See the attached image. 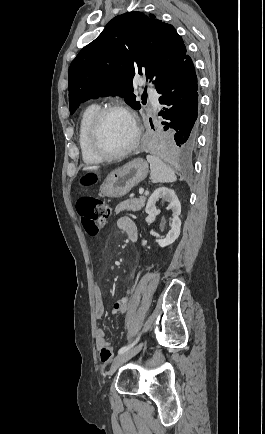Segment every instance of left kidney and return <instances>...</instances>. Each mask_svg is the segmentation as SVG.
Returning a JSON list of instances; mask_svg holds the SVG:
<instances>
[{
	"label": "left kidney",
	"instance_id": "5707ae66",
	"mask_svg": "<svg viewBox=\"0 0 265 434\" xmlns=\"http://www.w3.org/2000/svg\"><path fill=\"white\" fill-rule=\"evenodd\" d=\"M159 200H167V202H169L168 210H172L173 212L170 232H168L164 240H155L161 248H165V246L173 244L180 236L181 220L179 216L181 214V204L174 190H169V188H157L147 202L146 214H157V212H159L156 208V204Z\"/></svg>",
	"mask_w": 265,
	"mask_h": 434
}]
</instances>
